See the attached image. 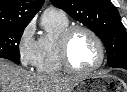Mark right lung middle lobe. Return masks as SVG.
I'll return each instance as SVG.
<instances>
[{
	"instance_id": "dd1d6c3e",
	"label": "right lung middle lobe",
	"mask_w": 127,
	"mask_h": 92,
	"mask_svg": "<svg viewBox=\"0 0 127 92\" xmlns=\"http://www.w3.org/2000/svg\"><path fill=\"white\" fill-rule=\"evenodd\" d=\"M25 26L0 27V58L20 60L19 42Z\"/></svg>"
}]
</instances>
